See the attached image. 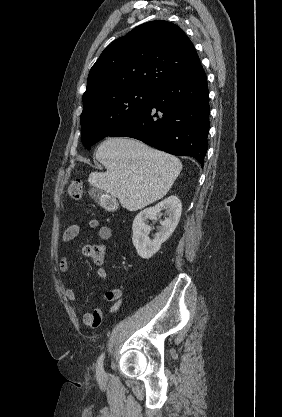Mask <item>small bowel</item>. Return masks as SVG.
I'll return each mask as SVG.
<instances>
[{
  "instance_id": "1",
  "label": "small bowel",
  "mask_w": 282,
  "mask_h": 417,
  "mask_svg": "<svg viewBox=\"0 0 282 417\" xmlns=\"http://www.w3.org/2000/svg\"><path fill=\"white\" fill-rule=\"evenodd\" d=\"M88 226L91 229H97L98 230V235L102 240H108V239L111 238L112 232H111L110 227L100 226L99 222L96 219H91L88 223ZM79 231H80V227H79L78 224L69 225L65 229V231L63 232L62 242L65 243V244L69 243L70 241H72L79 234ZM59 269L63 274H65V275L69 274V264H68L67 256L63 255V256L60 257V259H59ZM97 277L102 282H107L108 281V273L104 268H99L97 270ZM122 295H123L122 288H120V287L112 288V289L107 290L104 293V295L101 299V302H111V301H113L114 304L111 307L110 312H111V314H115L123 304ZM65 296L70 301H76L77 298H78L75 291L69 286H67L65 288ZM97 309H99L101 311V307L98 306L93 311L85 313L84 318H83L84 323L92 329H96L100 325V321L96 318V315H95V310H97ZM101 317H102V311H101Z\"/></svg>"
}]
</instances>
